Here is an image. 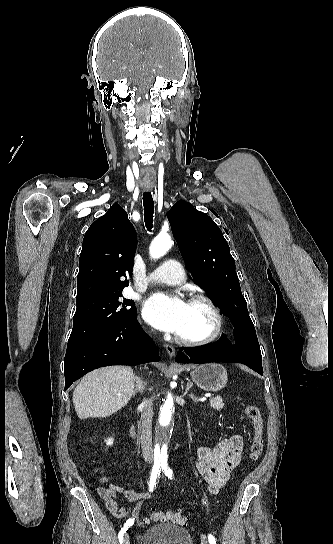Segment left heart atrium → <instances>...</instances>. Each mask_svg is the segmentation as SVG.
Returning a JSON list of instances; mask_svg holds the SVG:
<instances>
[{
	"mask_svg": "<svg viewBox=\"0 0 333 544\" xmlns=\"http://www.w3.org/2000/svg\"><path fill=\"white\" fill-rule=\"evenodd\" d=\"M187 303L178 296L154 294L144 304V319L162 331L179 333L182 328Z\"/></svg>",
	"mask_w": 333,
	"mask_h": 544,
	"instance_id": "1",
	"label": "left heart atrium"
}]
</instances>
